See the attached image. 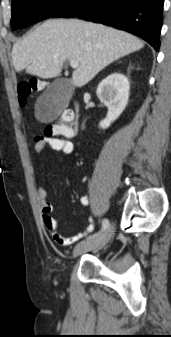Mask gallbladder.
<instances>
[{
  "label": "gallbladder",
  "mask_w": 171,
  "mask_h": 337,
  "mask_svg": "<svg viewBox=\"0 0 171 337\" xmlns=\"http://www.w3.org/2000/svg\"><path fill=\"white\" fill-rule=\"evenodd\" d=\"M74 86L67 79H56L37 99L36 116L43 122L55 119L68 105Z\"/></svg>",
  "instance_id": "1"
}]
</instances>
